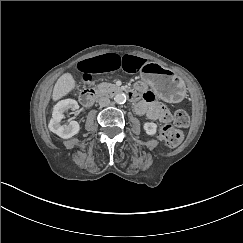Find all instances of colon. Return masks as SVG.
<instances>
[{"instance_id":"colon-1","label":"colon","mask_w":243,"mask_h":243,"mask_svg":"<svg viewBox=\"0 0 243 243\" xmlns=\"http://www.w3.org/2000/svg\"><path fill=\"white\" fill-rule=\"evenodd\" d=\"M188 123L189 117L187 113L182 110H177L174 113L172 123H168L160 129L162 140L170 147L179 145L183 140V131L181 128L186 127Z\"/></svg>"}]
</instances>
